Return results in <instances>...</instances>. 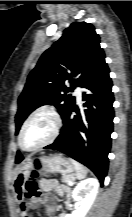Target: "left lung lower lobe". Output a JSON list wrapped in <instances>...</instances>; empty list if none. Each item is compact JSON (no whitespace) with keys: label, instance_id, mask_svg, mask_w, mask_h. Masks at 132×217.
<instances>
[{"label":"left lung lower lobe","instance_id":"0a47b994","mask_svg":"<svg viewBox=\"0 0 132 217\" xmlns=\"http://www.w3.org/2000/svg\"><path fill=\"white\" fill-rule=\"evenodd\" d=\"M84 109L75 105L62 117L63 127L55 142L45 147L61 151L90 168L103 185L108 169V153L113 132L112 81L104 61L83 85ZM76 112L74 117L71 113ZM23 160L17 157L16 163Z\"/></svg>","mask_w":132,"mask_h":217}]
</instances>
